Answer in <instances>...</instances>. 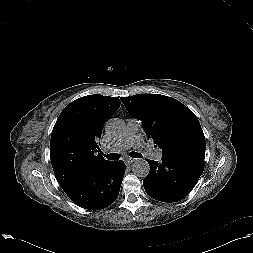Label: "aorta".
I'll return each instance as SVG.
<instances>
[{"instance_id": "762f6f07", "label": "aorta", "mask_w": 253, "mask_h": 253, "mask_svg": "<svg viewBox=\"0 0 253 253\" xmlns=\"http://www.w3.org/2000/svg\"><path fill=\"white\" fill-rule=\"evenodd\" d=\"M124 129V122L117 119H112L105 125V132L112 136H118ZM132 171L136 176L144 178L149 174V163L145 159H137L132 165Z\"/></svg>"}]
</instances>
